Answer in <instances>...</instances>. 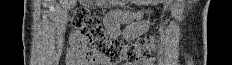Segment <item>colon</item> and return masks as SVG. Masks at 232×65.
Segmentation results:
<instances>
[{"instance_id": "1", "label": "colon", "mask_w": 232, "mask_h": 65, "mask_svg": "<svg viewBox=\"0 0 232 65\" xmlns=\"http://www.w3.org/2000/svg\"><path fill=\"white\" fill-rule=\"evenodd\" d=\"M72 25L80 31L75 41V51L90 64L117 65L121 62L134 65L146 58L154 47L152 37L140 38L134 44H124L106 35L99 20L86 8H78L71 18ZM86 42L88 47H86Z\"/></svg>"}]
</instances>
